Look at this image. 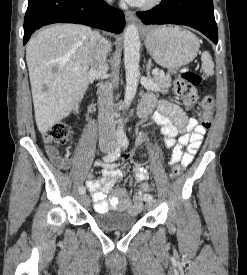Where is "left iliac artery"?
Segmentation results:
<instances>
[{
    "label": "left iliac artery",
    "mask_w": 247,
    "mask_h": 275,
    "mask_svg": "<svg viewBox=\"0 0 247 275\" xmlns=\"http://www.w3.org/2000/svg\"><path fill=\"white\" fill-rule=\"evenodd\" d=\"M121 144H122L123 148L126 149V148L128 147V144H129L127 138H123V139L121 140ZM144 200H145V201L153 200V196L150 195V194H145V195H144Z\"/></svg>",
    "instance_id": "obj_1"
}]
</instances>
